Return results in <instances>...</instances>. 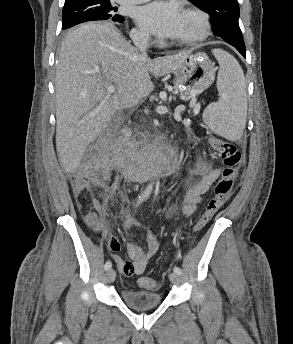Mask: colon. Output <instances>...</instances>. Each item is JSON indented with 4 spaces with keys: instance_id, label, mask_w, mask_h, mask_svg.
<instances>
[{
    "instance_id": "5ec220e1",
    "label": "colon",
    "mask_w": 293,
    "mask_h": 344,
    "mask_svg": "<svg viewBox=\"0 0 293 344\" xmlns=\"http://www.w3.org/2000/svg\"><path fill=\"white\" fill-rule=\"evenodd\" d=\"M210 144L221 156L224 167L215 186L214 196L208 201L204 212L194 226L195 232L203 230L230 197L242 161V154L235 143L213 137L210 139ZM80 185H83V183L81 182ZM80 198L83 199V195H80ZM88 221L94 228H99V212L97 210L90 211L88 213ZM138 283L141 287L151 290L158 285L155 279L149 277L140 278Z\"/></svg>"
}]
</instances>
